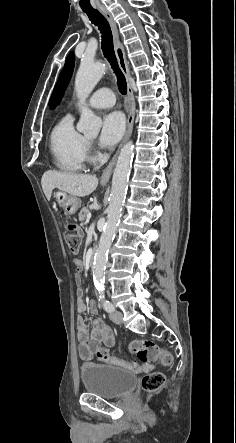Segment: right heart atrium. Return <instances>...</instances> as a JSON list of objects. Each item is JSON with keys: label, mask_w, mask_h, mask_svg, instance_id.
Masks as SVG:
<instances>
[{"label": "right heart atrium", "mask_w": 236, "mask_h": 443, "mask_svg": "<svg viewBox=\"0 0 236 443\" xmlns=\"http://www.w3.org/2000/svg\"><path fill=\"white\" fill-rule=\"evenodd\" d=\"M90 152H91V144L87 143L86 144V154L88 155V154H90Z\"/></svg>", "instance_id": "right-heart-atrium-1"}]
</instances>
